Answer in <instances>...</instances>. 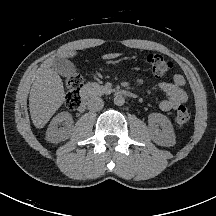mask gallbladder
I'll return each instance as SVG.
<instances>
[{"label":"gallbladder","instance_id":"1","mask_svg":"<svg viewBox=\"0 0 216 216\" xmlns=\"http://www.w3.org/2000/svg\"><path fill=\"white\" fill-rule=\"evenodd\" d=\"M53 69L63 77L75 75L77 72L75 65L64 58H56L53 62Z\"/></svg>","mask_w":216,"mask_h":216}]
</instances>
